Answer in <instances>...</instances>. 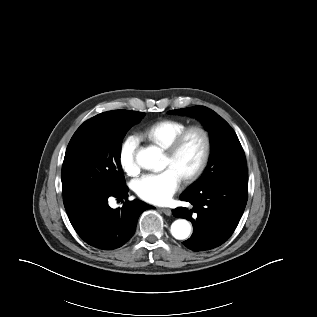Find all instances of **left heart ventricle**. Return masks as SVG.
Segmentation results:
<instances>
[{
    "instance_id": "obj_1",
    "label": "left heart ventricle",
    "mask_w": 317,
    "mask_h": 317,
    "mask_svg": "<svg viewBox=\"0 0 317 317\" xmlns=\"http://www.w3.org/2000/svg\"><path fill=\"white\" fill-rule=\"evenodd\" d=\"M203 152V139L200 134L191 133L175 158L165 156V167L173 168L181 177L191 173L198 165Z\"/></svg>"
}]
</instances>
